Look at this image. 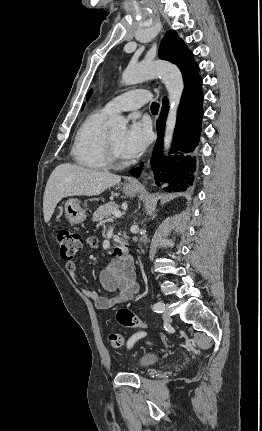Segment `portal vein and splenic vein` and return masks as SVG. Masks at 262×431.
Returning a JSON list of instances; mask_svg holds the SVG:
<instances>
[{"mask_svg": "<svg viewBox=\"0 0 262 431\" xmlns=\"http://www.w3.org/2000/svg\"><path fill=\"white\" fill-rule=\"evenodd\" d=\"M113 215H114V217H116V218H120L121 217V212H119V211H115L114 213H113Z\"/></svg>", "mask_w": 262, "mask_h": 431, "instance_id": "portal-vein-and-splenic-vein-1", "label": "portal vein and splenic vein"}]
</instances>
